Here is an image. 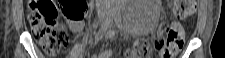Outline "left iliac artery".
<instances>
[{
  "label": "left iliac artery",
  "mask_w": 225,
  "mask_h": 58,
  "mask_svg": "<svg viewBox=\"0 0 225 58\" xmlns=\"http://www.w3.org/2000/svg\"><path fill=\"white\" fill-rule=\"evenodd\" d=\"M115 22H116L118 28H119L120 30H122V29H123V25H122L120 19H119L117 16L115 17Z\"/></svg>",
  "instance_id": "left-iliac-artery-1"
}]
</instances>
